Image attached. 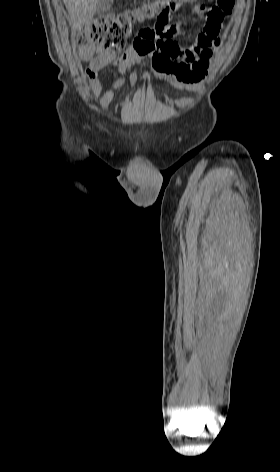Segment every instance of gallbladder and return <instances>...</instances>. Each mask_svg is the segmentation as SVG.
<instances>
[{
	"instance_id": "bac80fb5",
	"label": "gallbladder",
	"mask_w": 280,
	"mask_h": 472,
	"mask_svg": "<svg viewBox=\"0 0 280 472\" xmlns=\"http://www.w3.org/2000/svg\"><path fill=\"white\" fill-rule=\"evenodd\" d=\"M113 4V0H98L96 6V13L103 14L107 12Z\"/></svg>"
}]
</instances>
